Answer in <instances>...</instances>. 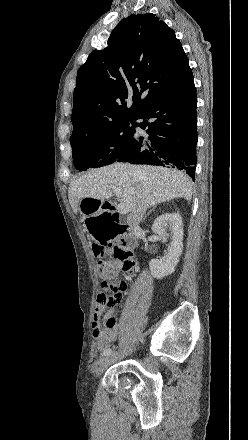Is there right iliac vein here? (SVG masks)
Returning <instances> with one entry per match:
<instances>
[{"instance_id":"63e3f726","label":"right iliac vein","mask_w":248,"mask_h":440,"mask_svg":"<svg viewBox=\"0 0 248 440\" xmlns=\"http://www.w3.org/2000/svg\"><path fill=\"white\" fill-rule=\"evenodd\" d=\"M113 360L114 356L112 355L101 358L96 368V376H100L104 372V370L112 363Z\"/></svg>"}]
</instances>
